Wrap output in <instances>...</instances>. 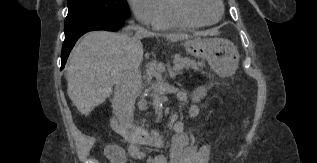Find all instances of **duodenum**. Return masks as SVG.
Instances as JSON below:
<instances>
[{"mask_svg": "<svg viewBox=\"0 0 317 163\" xmlns=\"http://www.w3.org/2000/svg\"><path fill=\"white\" fill-rule=\"evenodd\" d=\"M175 118V114L170 115L165 129H156L151 132L138 126L130 125L116 115L111 119V126L128 140L130 147L140 144L157 147L163 144L169 137ZM108 149L114 157L121 156L123 152V149L115 144L109 145Z\"/></svg>", "mask_w": 317, "mask_h": 163, "instance_id": "1", "label": "duodenum"}]
</instances>
